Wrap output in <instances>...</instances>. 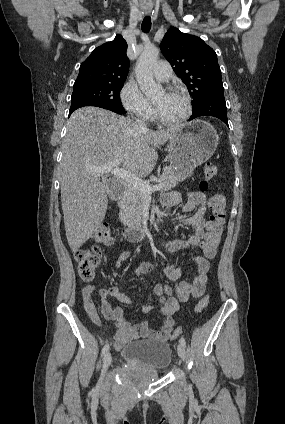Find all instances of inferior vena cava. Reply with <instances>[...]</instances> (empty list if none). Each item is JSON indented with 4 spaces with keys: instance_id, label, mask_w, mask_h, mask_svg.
<instances>
[{
    "instance_id": "1",
    "label": "inferior vena cava",
    "mask_w": 285,
    "mask_h": 424,
    "mask_svg": "<svg viewBox=\"0 0 285 424\" xmlns=\"http://www.w3.org/2000/svg\"><path fill=\"white\" fill-rule=\"evenodd\" d=\"M135 125H136L137 128H139L141 130H147L146 125L141 120L135 121Z\"/></svg>"
}]
</instances>
